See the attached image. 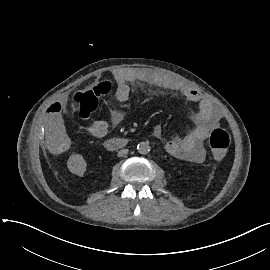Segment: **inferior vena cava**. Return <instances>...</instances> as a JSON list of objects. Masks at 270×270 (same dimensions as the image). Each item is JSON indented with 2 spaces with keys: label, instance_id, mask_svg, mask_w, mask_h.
<instances>
[{
  "label": "inferior vena cava",
  "instance_id": "inferior-vena-cava-1",
  "mask_svg": "<svg viewBox=\"0 0 270 270\" xmlns=\"http://www.w3.org/2000/svg\"><path fill=\"white\" fill-rule=\"evenodd\" d=\"M128 154V149H121L119 152H118V157H123L125 155Z\"/></svg>",
  "mask_w": 270,
  "mask_h": 270
}]
</instances>
